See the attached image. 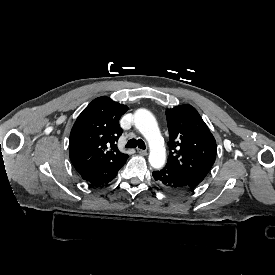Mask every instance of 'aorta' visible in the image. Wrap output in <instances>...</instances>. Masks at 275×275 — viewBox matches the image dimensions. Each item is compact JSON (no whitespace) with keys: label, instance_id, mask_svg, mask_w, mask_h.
I'll return each mask as SVG.
<instances>
[{"label":"aorta","instance_id":"1","mask_svg":"<svg viewBox=\"0 0 275 275\" xmlns=\"http://www.w3.org/2000/svg\"><path fill=\"white\" fill-rule=\"evenodd\" d=\"M135 127L150 146L149 162L154 168H161L166 159L165 149L157 144L161 136L157 121L152 113L139 109L135 113Z\"/></svg>","mask_w":275,"mask_h":275}]
</instances>
